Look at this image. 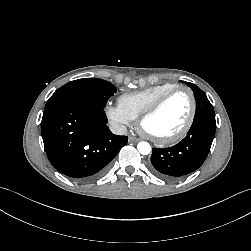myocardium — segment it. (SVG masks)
Returning <instances> with one entry per match:
<instances>
[{
  "label": "myocardium",
  "mask_w": 251,
  "mask_h": 251,
  "mask_svg": "<svg viewBox=\"0 0 251 251\" xmlns=\"http://www.w3.org/2000/svg\"><path fill=\"white\" fill-rule=\"evenodd\" d=\"M180 91L186 92L189 95L191 101L190 114L184 126L174 135L165 138H158L146 132L145 129L143 128V123L145 122V120L154 115L172 95ZM196 111H197V101L193 91L186 86H176L165 92L163 95H161L153 104H151L145 111L141 113V115L138 117V127L147 138H149L150 140L154 141L157 144L160 145L174 144L182 140L188 134L194 123Z\"/></svg>",
  "instance_id": "myocardium-1"
}]
</instances>
